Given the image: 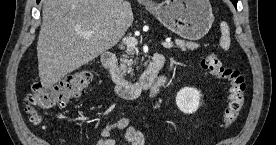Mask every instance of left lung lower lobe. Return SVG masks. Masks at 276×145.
Wrapping results in <instances>:
<instances>
[{
	"label": "left lung lower lobe",
	"instance_id": "0a47b994",
	"mask_svg": "<svg viewBox=\"0 0 276 145\" xmlns=\"http://www.w3.org/2000/svg\"><path fill=\"white\" fill-rule=\"evenodd\" d=\"M237 1L238 0H231V2L233 3V5L236 7V5H237Z\"/></svg>",
	"mask_w": 276,
	"mask_h": 145
}]
</instances>
